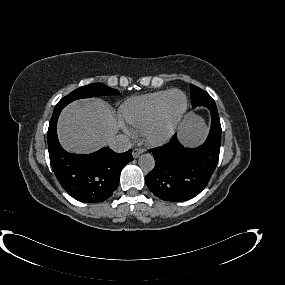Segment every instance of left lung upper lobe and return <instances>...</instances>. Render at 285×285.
<instances>
[{
  "label": "left lung upper lobe",
  "instance_id": "5c2ea615",
  "mask_svg": "<svg viewBox=\"0 0 285 285\" xmlns=\"http://www.w3.org/2000/svg\"><path fill=\"white\" fill-rule=\"evenodd\" d=\"M190 88H191V102L193 107L203 106L208 103H215L212 97L204 90L192 84L190 85Z\"/></svg>",
  "mask_w": 285,
  "mask_h": 285
}]
</instances>
